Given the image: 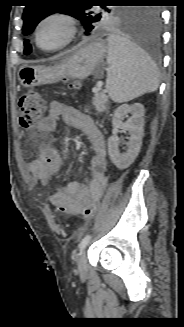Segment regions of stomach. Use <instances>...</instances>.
<instances>
[{
    "label": "stomach",
    "instance_id": "obj_1",
    "mask_svg": "<svg viewBox=\"0 0 184 327\" xmlns=\"http://www.w3.org/2000/svg\"><path fill=\"white\" fill-rule=\"evenodd\" d=\"M106 53V43L96 41L50 67L23 65L18 70V80L23 87L28 88L56 83L63 78L83 80L90 75L100 76Z\"/></svg>",
    "mask_w": 184,
    "mask_h": 327
}]
</instances>
